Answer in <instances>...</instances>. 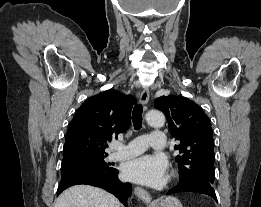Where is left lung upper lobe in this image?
Segmentation results:
<instances>
[{"instance_id":"obj_1","label":"left lung upper lobe","mask_w":261,"mask_h":207,"mask_svg":"<svg viewBox=\"0 0 261 207\" xmlns=\"http://www.w3.org/2000/svg\"><path fill=\"white\" fill-rule=\"evenodd\" d=\"M155 107L162 111L172 136L180 141L175 145L181 155L176 157L180 179L214 183L215 154L210 120L202 108L182 96H161L155 99Z\"/></svg>"}]
</instances>
